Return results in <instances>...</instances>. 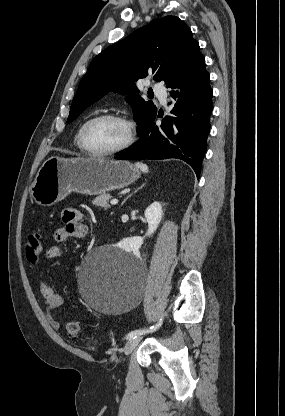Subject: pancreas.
Returning <instances> with one entry per match:
<instances>
[{"label": "pancreas", "mask_w": 285, "mask_h": 416, "mask_svg": "<svg viewBox=\"0 0 285 416\" xmlns=\"http://www.w3.org/2000/svg\"><path fill=\"white\" fill-rule=\"evenodd\" d=\"M111 198V194H102V196H97V198H94L92 204H95V206H100V208H105V210H108V208H110L108 202L109 200H111Z\"/></svg>", "instance_id": "obj_1"}]
</instances>
